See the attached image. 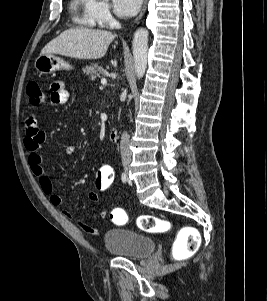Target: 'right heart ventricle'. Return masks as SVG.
<instances>
[{"label": "right heart ventricle", "mask_w": 267, "mask_h": 301, "mask_svg": "<svg viewBox=\"0 0 267 301\" xmlns=\"http://www.w3.org/2000/svg\"><path fill=\"white\" fill-rule=\"evenodd\" d=\"M71 11L74 21L86 27H92L95 24L89 19V0H73L71 3Z\"/></svg>", "instance_id": "right-heart-ventricle-1"}]
</instances>
